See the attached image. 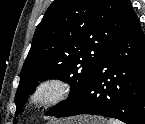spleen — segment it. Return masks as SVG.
I'll return each instance as SVG.
<instances>
[{
    "instance_id": "3e777b00",
    "label": "spleen",
    "mask_w": 145,
    "mask_h": 124,
    "mask_svg": "<svg viewBox=\"0 0 145 124\" xmlns=\"http://www.w3.org/2000/svg\"><path fill=\"white\" fill-rule=\"evenodd\" d=\"M110 124H123V123L117 120L110 119Z\"/></svg>"
}]
</instances>
